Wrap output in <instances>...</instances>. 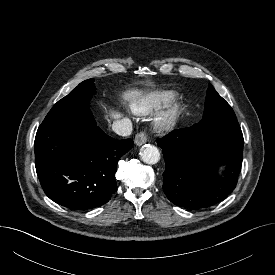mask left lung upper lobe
<instances>
[{
	"mask_svg": "<svg viewBox=\"0 0 275 275\" xmlns=\"http://www.w3.org/2000/svg\"><path fill=\"white\" fill-rule=\"evenodd\" d=\"M200 122L213 130L222 128L240 129L234 111L211 84L206 94L204 116Z\"/></svg>",
	"mask_w": 275,
	"mask_h": 275,
	"instance_id": "1",
	"label": "left lung upper lobe"
}]
</instances>
